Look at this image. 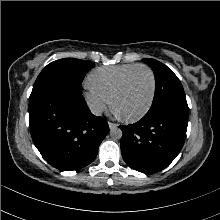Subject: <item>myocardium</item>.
Listing matches in <instances>:
<instances>
[{
  "instance_id": "1",
  "label": "myocardium",
  "mask_w": 220,
  "mask_h": 220,
  "mask_svg": "<svg viewBox=\"0 0 220 220\" xmlns=\"http://www.w3.org/2000/svg\"><path fill=\"white\" fill-rule=\"evenodd\" d=\"M138 69H146L149 72L151 79H152V91H151V95H150V98H149V101H148L146 107L139 114L134 115V116H122L121 115V117L127 122H136V121H139L140 119H142L150 111V109L153 105L154 99H155V95H156L157 80H156V75H155L154 71L148 65L137 64L135 67H133L131 70H129L124 75V77L121 79L118 86L114 90V92L111 96L112 107L115 109V102H116L117 97L124 90L131 75Z\"/></svg>"
}]
</instances>
